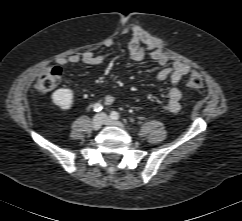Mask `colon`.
<instances>
[{"instance_id": "obj_1", "label": "colon", "mask_w": 242, "mask_h": 221, "mask_svg": "<svg viewBox=\"0 0 242 221\" xmlns=\"http://www.w3.org/2000/svg\"><path fill=\"white\" fill-rule=\"evenodd\" d=\"M62 77V69L58 66L46 69L38 78L36 82V89L40 93H48L53 90ZM203 85V79L199 72L192 71L189 79L188 86L190 88H200Z\"/></svg>"}]
</instances>
